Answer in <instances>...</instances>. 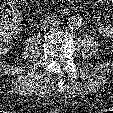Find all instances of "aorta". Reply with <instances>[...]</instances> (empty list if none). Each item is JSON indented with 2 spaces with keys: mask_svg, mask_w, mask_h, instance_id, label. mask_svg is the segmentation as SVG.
<instances>
[{
  "mask_svg": "<svg viewBox=\"0 0 113 113\" xmlns=\"http://www.w3.org/2000/svg\"><path fill=\"white\" fill-rule=\"evenodd\" d=\"M82 21L78 16H71L68 18L67 25L71 30H77L81 27Z\"/></svg>",
  "mask_w": 113,
  "mask_h": 113,
  "instance_id": "762f6f07",
  "label": "aorta"
}]
</instances>
